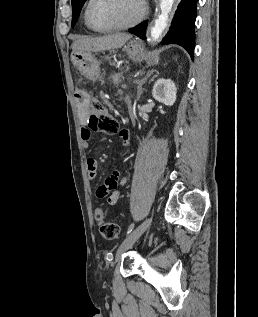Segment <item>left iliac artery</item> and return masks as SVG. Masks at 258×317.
I'll use <instances>...</instances> for the list:
<instances>
[{"mask_svg": "<svg viewBox=\"0 0 258 317\" xmlns=\"http://www.w3.org/2000/svg\"><path fill=\"white\" fill-rule=\"evenodd\" d=\"M133 228H134V223H131L130 226L128 227V229H127V233L126 234L127 235L130 234L132 232Z\"/></svg>", "mask_w": 258, "mask_h": 317, "instance_id": "left-iliac-artery-1", "label": "left iliac artery"}]
</instances>
